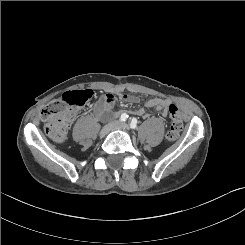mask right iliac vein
Instances as JSON below:
<instances>
[{"label":"right iliac vein","instance_id":"1","mask_svg":"<svg viewBox=\"0 0 245 245\" xmlns=\"http://www.w3.org/2000/svg\"><path fill=\"white\" fill-rule=\"evenodd\" d=\"M118 125L117 122H111V123H108L107 125H105L101 131H100V135L101 136H105L107 135L112 129L113 127H116Z\"/></svg>","mask_w":245,"mask_h":245}]
</instances>
